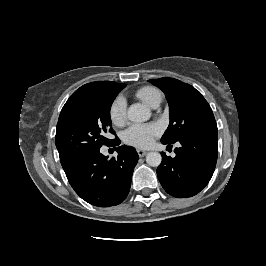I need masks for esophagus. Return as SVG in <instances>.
Segmentation results:
<instances>
[{
	"label": "esophagus",
	"mask_w": 266,
	"mask_h": 266,
	"mask_svg": "<svg viewBox=\"0 0 266 266\" xmlns=\"http://www.w3.org/2000/svg\"><path fill=\"white\" fill-rule=\"evenodd\" d=\"M137 153H138L139 157H144L147 154V151L137 149Z\"/></svg>",
	"instance_id": "obj_1"
}]
</instances>
